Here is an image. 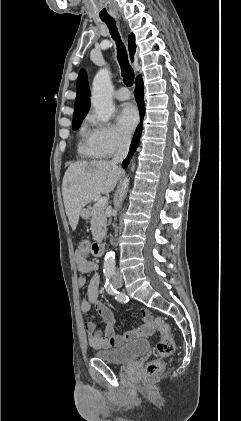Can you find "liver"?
<instances>
[{"instance_id": "liver-1", "label": "liver", "mask_w": 241, "mask_h": 421, "mask_svg": "<svg viewBox=\"0 0 241 421\" xmlns=\"http://www.w3.org/2000/svg\"><path fill=\"white\" fill-rule=\"evenodd\" d=\"M122 173L118 166L106 160L79 161L66 170L62 183V196L66 215L75 230L80 212L100 194H109Z\"/></svg>"}]
</instances>
